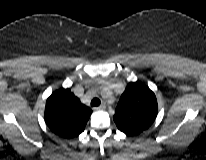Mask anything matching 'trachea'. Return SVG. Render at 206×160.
<instances>
[{
  "mask_svg": "<svg viewBox=\"0 0 206 160\" xmlns=\"http://www.w3.org/2000/svg\"><path fill=\"white\" fill-rule=\"evenodd\" d=\"M91 105H92L93 107L99 106V105H100V100H99L98 98L92 99Z\"/></svg>",
  "mask_w": 206,
  "mask_h": 160,
  "instance_id": "trachea-1",
  "label": "trachea"
}]
</instances>
